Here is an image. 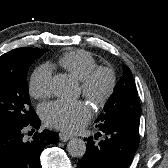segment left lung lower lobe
Here are the masks:
<instances>
[{
    "label": "left lung lower lobe",
    "instance_id": "0a47b994",
    "mask_svg": "<svg viewBox=\"0 0 168 168\" xmlns=\"http://www.w3.org/2000/svg\"><path fill=\"white\" fill-rule=\"evenodd\" d=\"M140 118L130 115L108 117L98 122L96 127L104 135L103 139H85L87 149L78 161V168H128L139 145Z\"/></svg>",
    "mask_w": 168,
    "mask_h": 168
}]
</instances>
